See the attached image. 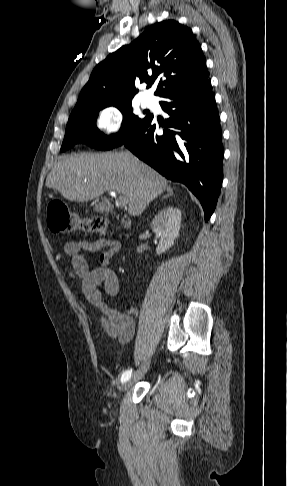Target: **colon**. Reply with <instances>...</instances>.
<instances>
[{
  "label": "colon",
  "mask_w": 287,
  "mask_h": 486,
  "mask_svg": "<svg viewBox=\"0 0 287 486\" xmlns=\"http://www.w3.org/2000/svg\"><path fill=\"white\" fill-rule=\"evenodd\" d=\"M46 212L47 225L51 232L56 234L67 233L73 230L102 233L107 227V222L104 218L81 219L73 214L64 202L59 200L49 202Z\"/></svg>",
  "instance_id": "obj_1"
}]
</instances>
